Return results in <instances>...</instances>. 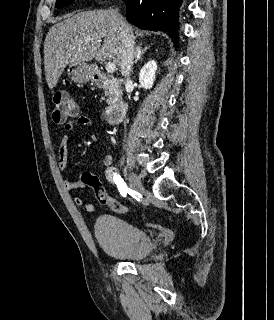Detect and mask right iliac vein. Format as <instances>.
<instances>
[{
    "label": "right iliac vein",
    "instance_id": "obj_1",
    "mask_svg": "<svg viewBox=\"0 0 274 320\" xmlns=\"http://www.w3.org/2000/svg\"><path fill=\"white\" fill-rule=\"evenodd\" d=\"M125 173L128 174V179L130 182V186L138 193L140 194H145L146 190L144 188V186L141 183V180L139 178V176L133 172H128L125 169Z\"/></svg>",
    "mask_w": 274,
    "mask_h": 320
}]
</instances>
